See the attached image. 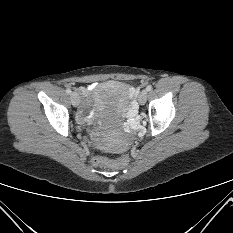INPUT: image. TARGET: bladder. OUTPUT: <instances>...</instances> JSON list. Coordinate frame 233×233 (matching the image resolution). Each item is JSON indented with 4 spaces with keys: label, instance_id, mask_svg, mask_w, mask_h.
I'll return each mask as SVG.
<instances>
[{
    "label": "bladder",
    "instance_id": "obj_1",
    "mask_svg": "<svg viewBox=\"0 0 233 233\" xmlns=\"http://www.w3.org/2000/svg\"><path fill=\"white\" fill-rule=\"evenodd\" d=\"M128 99V87L120 81L110 80L101 83L93 91L96 111L109 117L122 115L128 107ZM102 145L111 150L122 149L120 144L110 141H102Z\"/></svg>",
    "mask_w": 233,
    "mask_h": 233
}]
</instances>
